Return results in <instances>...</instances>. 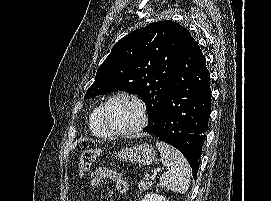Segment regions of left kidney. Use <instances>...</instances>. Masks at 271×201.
<instances>
[{
  "mask_svg": "<svg viewBox=\"0 0 271 201\" xmlns=\"http://www.w3.org/2000/svg\"><path fill=\"white\" fill-rule=\"evenodd\" d=\"M141 201H168V200L162 195L148 193L144 196V198Z\"/></svg>",
  "mask_w": 271,
  "mask_h": 201,
  "instance_id": "1",
  "label": "left kidney"
}]
</instances>
